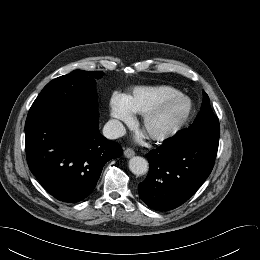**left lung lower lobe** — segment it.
I'll return each mask as SVG.
<instances>
[{"instance_id":"obj_1","label":"left lung lower lobe","mask_w":260,"mask_h":260,"mask_svg":"<svg viewBox=\"0 0 260 260\" xmlns=\"http://www.w3.org/2000/svg\"><path fill=\"white\" fill-rule=\"evenodd\" d=\"M219 142L167 139L146 155L149 173L139 184L141 200L157 211L177 208L186 202L211 173Z\"/></svg>"}]
</instances>
